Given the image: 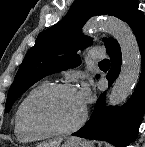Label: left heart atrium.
Instances as JSON below:
<instances>
[{"mask_svg": "<svg viewBox=\"0 0 145 147\" xmlns=\"http://www.w3.org/2000/svg\"><path fill=\"white\" fill-rule=\"evenodd\" d=\"M76 92L79 100L81 101L82 105L85 107L88 97L90 95L89 86L86 83H83Z\"/></svg>", "mask_w": 145, "mask_h": 147, "instance_id": "obj_1", "label": "left heart atrium"}]
</instances>
